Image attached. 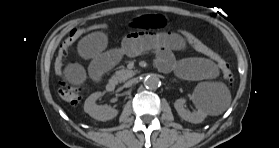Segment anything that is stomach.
Listing matches in <instances>:
<instances>
[{"instance_id": "stomach-1", "label": "stomach", "mask_w": 279, "mask_h": 148, "mask_svg": "<svg viewBox=\"0 0 279 148\" xmlns=\"http://www.w3.org/2000/svg\"><path fill=\"white\" fill-rule=\"evenodd\" d=\"M176 27L177 21L171 15L133 13L127 19V28L134 35L149 31L153 35L171 36Z\"/></svg>"}]
</instances>
